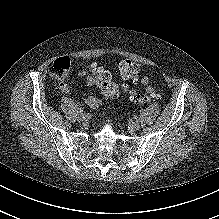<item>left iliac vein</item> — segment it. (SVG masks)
Here are the masks:
<instances>
[{"mask_svg":"<svg viewBox=\"0 0 219 219\" xmlns=\"http://www.w3.org/2000/svg\"><path fill=\"white\" fill-rule=\"evenodd\" d=\"M129 130L132 132V131H136L140 128V124L136 121H131L129 122Z\"/></svg>","mask_w":219,"mask_h":219,"instance_id":"left-iliac-vein-1","label":"left iliac vein"}]
</instances>
